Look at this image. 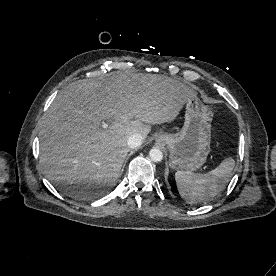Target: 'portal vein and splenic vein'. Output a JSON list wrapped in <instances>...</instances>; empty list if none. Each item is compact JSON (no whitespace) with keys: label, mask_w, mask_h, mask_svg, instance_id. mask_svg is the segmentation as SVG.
<instances>
[{"label":"portal vein and splenic vein","mask_w":276,"mask_h":276,"mask_svg":"<svg viewBox=\"0 0 276 276\" xmlns=\"http://www.w3.org/2000/svg\"><path fill=\"white\" fill-rule=\"evenodd\" d=\"M102 127H103V128H107L108 125H107L106 123H104Z\"/></svg>","instance_id":"1"}]
</instances>
